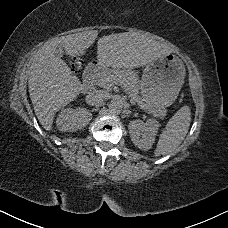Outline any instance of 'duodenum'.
Wrapping results in <instances>:
<instances>
[{
	"instance_id": "duodenum-1",
	"label": "duodenum",
	"mask_w": 228,
	"mask_h": 228,
	"mask_svg": "<svg viewBox=\"0 0 228 228\" xmlns=\"http://www.w3.org/2000/svg\"><path fill=\"white\" fill-rule=\"evenodd\" d=\"M99 74V67L97 65H90L86 69V73L81 75V82L83 84H90L92 82V78H95Z\"/></svg>"
}]
</instances>
